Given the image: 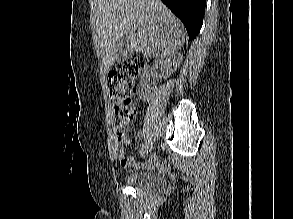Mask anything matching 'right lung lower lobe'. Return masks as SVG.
<instances>
[{
  "mask_svg": "<svg viewBox=\"0 0 293 219\" xmlns=\"http://www.w3.org/2000/svg\"><path fill=\"white\" fill-rule=\"evenodd\" d=\"M162 2L184 23L189 40H194L203 23L206 0H162Z\"/></svg>",
  "mask_w": 293,
  "mask_h": 219,
  "instance_id": "98d812e1",
  "label": "right lung lower lobe"
}]
</instances>
